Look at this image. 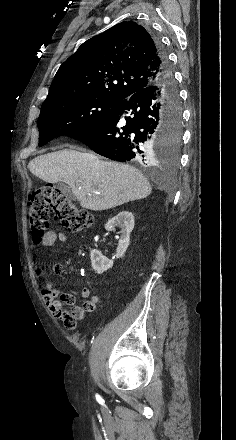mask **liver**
I'll use <instances>...</instances> for the list:
<instances>
[{"label": "liver", "instance_id": "1", "mask_svg": "<svg viewBox=\"0 0 236 440\" xmlns=\"http://www.w3.org/2000/svg\"><path fill=\"white\" fill-rule=\"evenodd\" d=\"M30 172L47 183L69 185L83 208L102 211L151 194L147 178L134 167L103 161L92 152L63 149L31 160Z\"/></svg>", "mask_w": 236, "mask_h": 440}]
</instances>
